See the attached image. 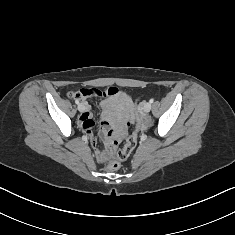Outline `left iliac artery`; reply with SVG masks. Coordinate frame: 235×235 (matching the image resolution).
Returning a JSON list of instances; mask_svg holds the SVG:
<instances>
[{
	"mask_svg": "<svg viewBox=\"0 0 235 235\" xmlns=\"http://www.w3.org/2000/svg\"><path fill=\"white\" fill-rule=\"evenodd\" d=\"M150 103H153L154 102V99H150V101H149Z\"/></svg>",
	"mask_w": 235,
	"mask_h": 235,
	"instance_id": "left-iliac-artery-1",
	"label": "left iliac artery"
}]
</instances>
